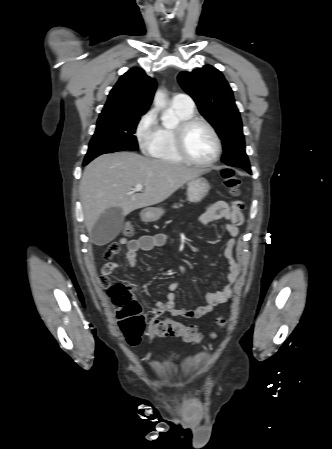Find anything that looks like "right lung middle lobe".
<instances>
[{
    "label": "right lung middle lobe",
    "mask_w": 332,
    "mask_h": 449,
    "mask_svg": "<svg viewBox=\"0 0 332 449\" xmlns=\"http://www.w3.org/2000/svg\"><path fill=\"white\" fill-rule=\"evenodd\" d=\"M142 115L99 116L84 162L89 163L97 156L105 153L137 150L138 144L134 133Z\"/></svg>",
    "instance_id": "dd1d6c3e"
}]
</instances>
